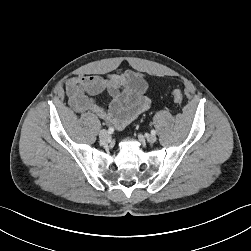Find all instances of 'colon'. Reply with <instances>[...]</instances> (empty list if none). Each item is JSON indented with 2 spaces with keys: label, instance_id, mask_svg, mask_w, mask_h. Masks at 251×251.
Segmentation results:
<instances>
[{
  "label": "colon",
  "instance_id": "5ec220e1",
  "mask_svg": "<svg viewBox=\"0 0 251 251\" xmlns=\"http://www.w3.org/2000/svg\"><path fill=\"white\" fill-rule=\"evenodd\" d=\"M172 97L176 104L181 105L183 102V94L179 89L172 90Z\"/></svg>",
  "mask_w": 251,
  "mask_h": 251
}]
</instances>
